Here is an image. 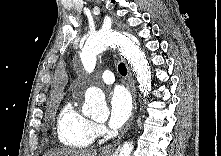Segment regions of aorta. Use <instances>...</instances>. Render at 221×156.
I'll list each match as a JSON object with an SVG mask.
<instances>
[{"label": "aorta", "mask_w": 221, "mask_h": 156, "mask_svg": "<svg viewBox=\"0 0 221 156\" xmlns=\"http://www.w3.org/2000/svg\"><path fill=\"white\" fill-rule=\"evenodd\" d=\"M107 48L120 50L121 55L132 67L141 92L144 97L147 96L151 90V71L148 60L137 40L128 33L110 29L90 35L80 54L85 70L91 73L95 68L97 55ZM82 113L94 120L107 119L109 109L106 105L105 95L100 88L92 86L86 90ZM133 149V141L125 142L114 156H131Z\"/></svg>", "instance_id": "762f6f07"}]
</instances>
